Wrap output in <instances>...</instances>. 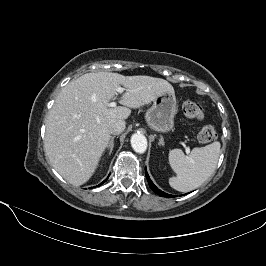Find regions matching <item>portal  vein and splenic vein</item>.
<instances>
[{
    "label": "portal vein and splenic vein",
    "instance_id": "18ae733b",
    "mask_svg": "<svg viewBox=\"0 0 266 266\" xmlns=\"http://www.w3.org/2000/svg\"><path fill=\"white\" fill-rule=\"evenodd\" d=\"M115 90L118 93H122L125 90V88H122V87L119 86V87H116ZM116 105H117L116 102L108 103L109 107H116ZM189 152H190V150L188 148H186V153H189Z\"/></svg>",
    "mask_w": 266,
    "mask_h": 266
}]
</instances>
